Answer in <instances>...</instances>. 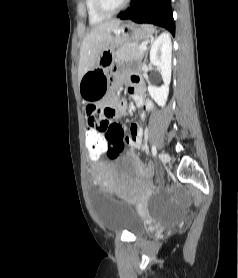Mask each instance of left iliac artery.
Returning a JSON list of instances; mask_svg holds the SVG:
<instances>
[{
    "label": "left iliac artery",
    "instance_id": "1",
    "mask_svg": "<svg viewBox=\"0 0 238 278\" xmlns=\"http://www.w3.org/2000/svg\"><path fill=\"white\" fill-rule=\"evenodd\" d=\"M152 154H153V156H156V154H157V149H156L155 145L152 146Z\"/></svg>",
    "mask_w": 238,
    "mask_h": 278
}]
</instances>
